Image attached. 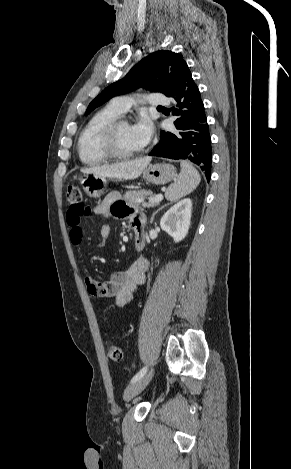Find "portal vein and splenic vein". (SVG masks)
I'll list each match as a JSON object with an SVG mask.
<instances>
[{"mask_svg":"<svg viewBox=\"0 0 291 469\" xmlns=\"http://www.w3.org/2000/svg\"><path fill=\"white\" fill-rule=\"evenodd\" d=\"M163 200V195L162 194H158L156 195L153 199L150 200V202H161ZM140 201V200H139Z\"/></svg>","mask_w":291,"mask_h":469,"instance_id":"1","label":"portal vein and splenic vein"}]
</instances>
